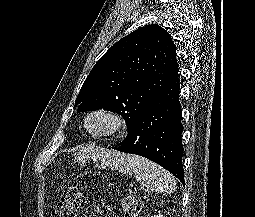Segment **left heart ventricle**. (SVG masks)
I'll return each mask as SVG.
<instances>
[{
	"instance_id": "left-heart-ventricle-1",
	"label": "left heart ventricle",
	"mask_w": 255,
	"mask_h": 217,
	"mask_svg": "<svg viewBox=\"0 0 255 217\" xmlns=\"http://www.w3.org/2000/svg\"><path fill=\"white\" fill-rule=\"evenodd\" d=\"M109 125H110V122L106 118H103L100 116L93 117L92 119H90L89 124H88L89 128L92 131L104 130V129L108 128Z\"/></svg>"
}]
</instances>
